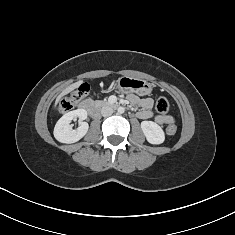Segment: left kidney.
<instances>
[{
  "instance_id": "left-kidney-1",
  "label": "left kidney",
  "mask_w": 235,
  "mask_h": 235,
  "mask_svg": "<svg viewBox=\"0 0 235 235\" xmlns=\"http://www.w3.org/2000/svg\"><path fill=\"white\" fill-rule=\"evenodd\" d=\"M141 129L149 143L158 145L164 142L165 133L157 123L143 121L141 122Z\"/></svg>"
}]
</instances>
